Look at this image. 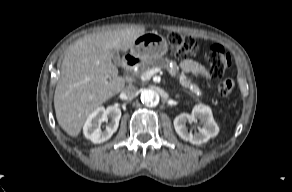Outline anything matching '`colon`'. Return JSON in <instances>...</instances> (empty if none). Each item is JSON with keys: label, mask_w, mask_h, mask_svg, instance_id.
Segmentation results:
<instances>
[{"label": "colon", "mask_w": 292, "mask_h": 192, "mask_svg": "<svg viewBox=\"0 0 292 192\" xmlns=\"http://www.w3.org/2000/svg\"><path fill=\"white\" fill-rule=\"evenodd\" d=\"M168 42L177 58L185 60L187 57L196 55L199 49L197 41L188 35L172 32L168 35ZM210 72L213 77L221 78L231 66V56L225 48L219 44L211 45L208 54ZM234 88L231 78H222L218 82V95L221 98L228 97Z\"/></svg>", "instance_id": "obj_1"}]
</instances>
